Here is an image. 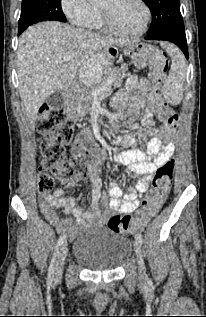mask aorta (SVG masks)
Wrapping results in <instances>:
<instances>
[{
  "mask_svg": "<svg viewBox=\"0 0 206 317\" xmlns=\"http://www.w3.org/2000/svg\"><path fill=\"white\" fill-rule=\"evenodd\" d=\"M89 2H93V1H95V0H88Z\"/></svg>",
  "mask_w": 206,
  "mask_h": 317,
  "instance_id": "762f6f07",
  "label": "aorta"
}]
</instances>
